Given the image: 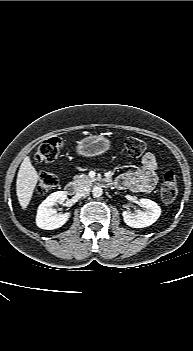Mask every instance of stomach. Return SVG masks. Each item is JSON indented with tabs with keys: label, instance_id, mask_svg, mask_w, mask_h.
I'll return each mask as SVG.
<instances>
[{
	"label": "stomach",
	"instance_id": "1",
	"mask_svg": "<svg viewBox=\"0 0 193 351\" xmlns=\"http://www.w3.org/2000/svg\"><path fill=\"white\" fill-rule=\"evenodd\" d=\"M111 142L100 135H90L78 141L76 153L82 157L102 155L110 149Z\"/></svg>",
	"mask_w": 193,
	"mask_h": 351
}]
</instances>
